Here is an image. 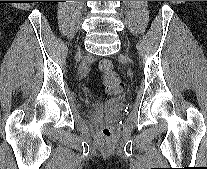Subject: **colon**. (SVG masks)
Listing matches in <instances>:
<instances>
[{"label": "colon", "mask_w": 207, "mask_h": 169, "mask_svg": "<svg viewBox=\"0 0 207 169\" xmlns=\"http://www.w3.org/2000/svg\"><path fill=\"white\" fill-rule=\"evenodd\" d=\"M102 75L103 86L110 95H120L124 91V83L118 73L114 70L109 60H102L99 65ZM99 136L108 141L113 137L114 131L110 124L104 123L98 129Z\"/></svg>", "instance_id": "colon-1"}]
</instances>
